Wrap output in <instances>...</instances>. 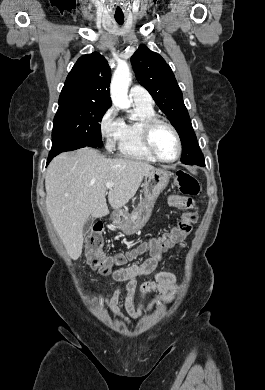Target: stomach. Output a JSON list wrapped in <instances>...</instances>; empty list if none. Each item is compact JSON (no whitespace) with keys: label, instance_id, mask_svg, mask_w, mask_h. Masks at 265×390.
Instances as JSON below:
<instances>
[{"label":"stomach","instance_id":"1","mask_svg":"<svg viewBox=\"0 0 265 390\" xmlns=\"http://www.w3.org/2000/svg\"><path fill=\"white\" fill-rule=\"evenodd\" d=\"M172 173L164 169H154L148 172L144 180V198L129 214L118 212L114 215L113 223L126 235L136 233L149 220L156 199L166 188Z\"/></svg>","mask_w":265,"mask_h":390}]
</instances>
